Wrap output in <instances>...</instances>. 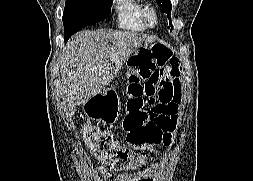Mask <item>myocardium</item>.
Returning <instances> with one entry per match:
<instances>
[{
  "instance_id": "f54148a6",
  "label": "myocardium",
  "mask_w": 253,
  "mask_h": 181,
  "mask_svg": "<svg viewBox=\"0 0 253 181\" xmlns=\"http://www.w3.org/2000/svg\"><path fill=\"white\" fill-rule=\"evenodd\" d=\"M142 19L146 27L152 28L157 25L158 13L155 7L147 4L142 10Z\"/></svg>"
}]
</instances>
